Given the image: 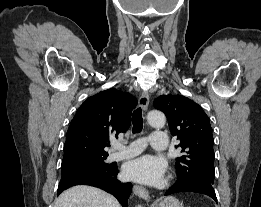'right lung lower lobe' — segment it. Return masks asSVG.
Here are the masks:
<instances>
[{
    "label": "right lung lower lobe",
    "mask_w": 261,
    "mask_h": 207,
    "mask_svg": "<svg viewBox=\"0 0 261 207\" xmlns=\"http://www.w3.org/2000/svg\"><path fill=\"white\" fill-rule=\"evenodd\" d=\"M117 174L118 169L115 165H109L104 169H84L64 173L58 186L57 195L75 185H90L111 193L123 207H128L127 200L132 191V184L119 181Z\"/></svg>",
    "instance_id": "right-lung-lower-lobe-1"
}]
</instances>
